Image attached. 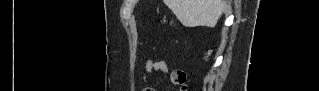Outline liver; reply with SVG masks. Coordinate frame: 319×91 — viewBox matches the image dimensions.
<instances>
[{
    "instance_id": "6515ba94",
    "label": "liver",
    "mask_w": 319,
    "mask_h": 91,
    "mask_svg": "<svg viewBox=\"0 0 319 91\" xmlns=\"http://www.w3.org/2000/svg\"><path fill=\"white\" fill-rule=\"evenodd\" d=\"M164 2L186 27H214L227 5L224 0H164Z\"/></svg>"
}]
</instances>
